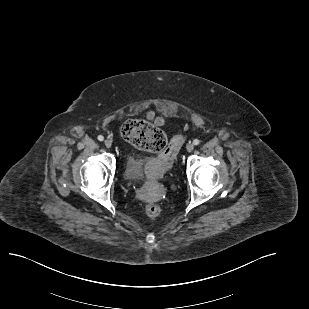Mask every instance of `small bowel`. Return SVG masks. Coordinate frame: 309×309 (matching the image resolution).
<instances>
[{"instance_id": "c3829d8e", "label": "small bowel", "mask_w": 309, "mask_h": 309, "mask_svg": "<svg viewBox=\"0 0 309 309\" xmlns=\"http://www.w3.org/2000/svg\"><path fill=\"white\" fill-rule=\"evenodd\" d=\"M147 118L157 126H161L165 122L164 118L156 115L153 110L147 112Z\"/></svg>"}]
</instances>
